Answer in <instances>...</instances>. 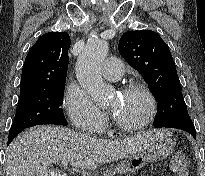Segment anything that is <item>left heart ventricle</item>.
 Wrapping results in <instances>:
<instances>
[{
	"label": "left heart ventricle",
	"instance_id": "left-heart-ventricle-1",
	"mask_svg": "<svg viewBox=\"0 0 205 176\" xmlns=\"http://www.w3.org/2000/svg\"><path fill=\"white\" fill-rule=\"evenodd\" d=\"M108 106L118 120L128 125L144 120L149 110L147 99L138 92L113 95Z\"/></svg>",
	"mask_w": 205,
	"mask_h": 176
}]
</instances>
